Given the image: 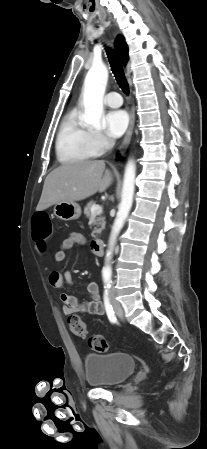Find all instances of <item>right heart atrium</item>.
<instances>
[{
    "label": "right heart atrium",
    "mask_w": 207,
    "mask_h": 449,
    "mask_svg": "<svg viewBox=\"0 0 207 449\" xmlns=\"http://www.w3.org/2000/svg\"><path fill=\"white\" fill-rule=\"evenodd\" d=\"M90 143L96 155L102 154L112 146V141L99 132L90 133Z\"/></svg>",
    "instance_id": "right-heart-atrium-1"
}]
</instances>
